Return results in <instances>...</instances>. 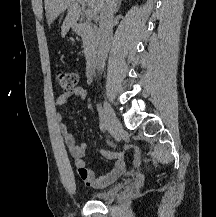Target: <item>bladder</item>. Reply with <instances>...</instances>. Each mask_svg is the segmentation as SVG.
Returning <instances> with one entry per match:
<instances>
[{"label": "bladder", "mask_w": 216, "mask_h": 217, "mask_svg": "<svg viewBox=\"0 0 216 217\" xmlns=\"http://www.w3.org/2000/svg\"><path fill=\"white\" fill-rule=\"evenodd\" d=\"M123 186V184H117L107 190L94 191L90 194V197L93 200L106 201L115 197L123 189Z\"/></svg>", "instance_id": "31cf9c89"}]
</instances>
